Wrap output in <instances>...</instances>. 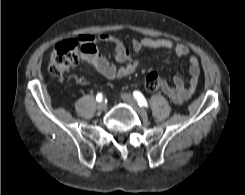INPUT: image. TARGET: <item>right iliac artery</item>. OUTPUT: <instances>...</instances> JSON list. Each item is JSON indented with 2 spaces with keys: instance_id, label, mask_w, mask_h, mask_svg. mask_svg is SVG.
<instances>
[{
  "instance_id": "1",
  "label": "right iliac artery",
  "mask_w": 245,
  "mask_h": 195,
  "mask_svg": "<svg viewBox=\"0 0 245 195\" xmlns=\"http://www.w3.org/2000/svg\"><path fill=\"white\" fill-rule=\"evenodd\" d=\"M102 99H103V95H102L101 93L97 94L96 100H97L98 102H101Z\"/></svg>"
}]
</instances>
